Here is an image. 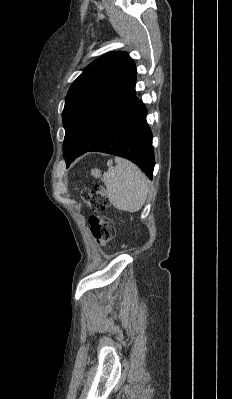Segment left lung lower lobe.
<instances>
[{
    "label": "left lung lower lobe",
    "mask_w": 232,
    "mask_h": 399,
    "mask_svg": "<svg viewBox=\"0 0 232 399\" xmlns=\"http://www.w3.org/2000/svg\"><path fill=\"white\" fill-rule=\"evenodd\" d=\"M146 115L144 103L137 98L113 130L88 152H103L129 159L152 180L155 157L153 136Z\"/></svg>",
    "instance_id": "1"
}]
</instances>
